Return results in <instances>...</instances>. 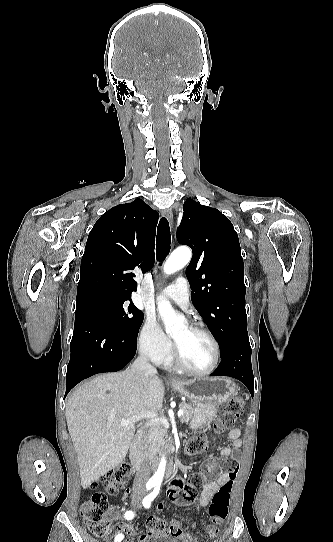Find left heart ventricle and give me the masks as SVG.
Returning <instances> with one entry per match:
<instances>
[{
	"instance_id": "left-heart-ventricle-1",
	"label": "left heart ventricle",
	"mask_w": 333,
	"mask_h": 542,
	"mask_svg": "<svg viewBox=\"0 0 333 542\" xmlns=\"http://www.w3.org/2000/svg\"><path fill=\"white\" fill-rule=\"evenodd\" d=\"M180 357L190 368L205 370L214 360L212 343L204 335L191 331L188 326L170 335Z\"/></svg>"
}]
</instances>
